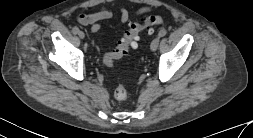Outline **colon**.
Here are the masks:
<instances>
[{
    "mask_svg": "<svg viewBox=\"0 0 253 138\" xmlns=\"http://www.w3.org/2000/svg\"><path fill=\"white\" fill-rule=\"evenodd\" d=\"M162 23V18L154 14L144 17L140 22L132 23L115 48L105 55V64L112 66L115 60L127 55L132 48L137 47L142 32L152 33ZM127 95V89L122 84L118 85L114 91V97L117 101H124Z\"/></svg>",
    "mask_w": 253,
    "mask_h": 138,
    "instance_id": "1",
    "label": "colon"
}]
</instances>
